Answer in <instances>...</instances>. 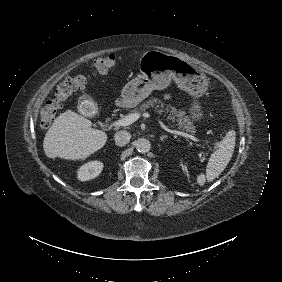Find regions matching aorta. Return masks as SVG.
<instances>
[{"label": "aorta", "mask_w": 282, "mask_h": 282, "mask_svg": "<svg viewBox=\"0 0 282 282\" xmlns=\"http://www.w3.org/2000/svg\"><path fill=\"white\" fill-rule=\"evenodd\" d=\"M150 141L145 138H140L135 142V148L140 153H147L150 150Z\"/></svg>", "instance_id": "aorta-1"}]
</instances>
